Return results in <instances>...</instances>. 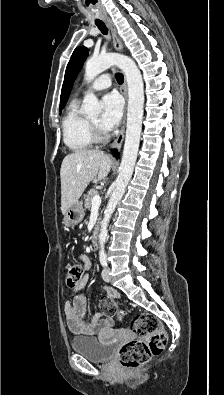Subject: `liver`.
Listing matches in <instances>:
<instances>
[{
  "instance_id": "6515ba94",
  "label": "liver",
  "mask_w": 224,
  "mask_h": 395,
  "mask_svg": "<svg viewBox=\"0 0 224 395\" xmlns=\"http://www.w3.org/2000/svg\"><path fill=\"white\" fill-rule=\"evenodd\" d=\"M112 159L101 150L83 149L66 155L60 169L61 212L78 202L88 184L103 180L110 172Z\"/></svg>"
}]
</instances>
